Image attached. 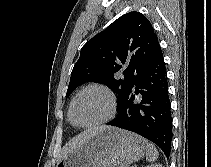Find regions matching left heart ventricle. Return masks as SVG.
I'll list each match as a JSON object with an SVG mask.
<instances>
[{
  "mask_svg": "<svg viewBox=\"0 0 211 167\" xmlns=\"http://www.w3.org/2000/svg\"><path fill=\"white\" fill-rule=\"evenodd\" d=\"M110 111L107 95L99 90H89L83 93L75 102L73 119L80 125L103 119Z\"/></svg>",
  "mask_w": 211,
  "mask_h": 167,
  "instance_id": "b2bd125f",
  "label": "left heart ventricle"
}]
</instances>
